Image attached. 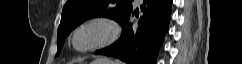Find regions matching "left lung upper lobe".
<instances>
[{
    "instance_id": "5c2ea615",
    "label": "left lung upper lobe",
    "mask_w": 242,
    "mask_h": 64,
    "mask_svg": "<svg viewBox=\"0 0 242 64\" xmlns=\"http://www.w3.org/2000/svg\"><path fill=\"white\" fill-rule=\"evenodd\" d=\"M132 0H67L58 27V51L61 52L66 36L85 20L108 17L120 22L132 10Z\"/></svg>"
}]
</instances>
